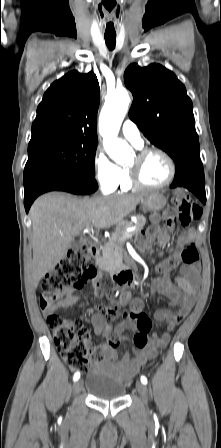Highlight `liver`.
<instances>
[{"instance_id": "obj_1", "label": "liver", "mask_w": 221, "mask_h": 448, "mask_svg": "<svg viewBox=\"0 0 221 448\" xmlns=\"http://www.w3.org/2000/svg\"><path fill=\"white\" fill-rule=\"evenodd\" d=\"M147 195L79 199L50 192L37 198L30 209L34 286L66 256L74 238L84 229H104L121 223Z\"/></svg>"}]
</instances>
